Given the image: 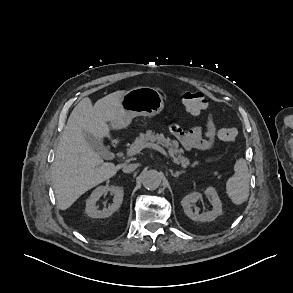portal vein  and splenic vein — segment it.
<instances>
[{
    "label": "portal vein and splenic vein",
    "mask_w": 293,
    "mask_h": 293,
    "mask_svg": "<svg viewBox=\"0 0 293 293\" xmlns=\"http://www.w3.org/2000/svg\"><path fill=\"white\" fill-rule=\"evenodd\" d=\"M144 148H150V149L157 150L160 153H162L165 157L168 158V154L165 151V149L155 143H146V144L135 145L127 151V156H133V155L139 153Z\"/></svg>",
    "instance_id": "1"
}]
</instances>
